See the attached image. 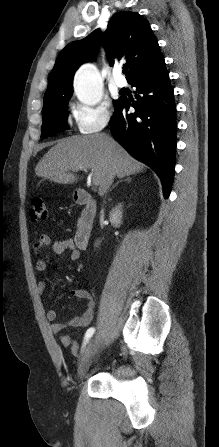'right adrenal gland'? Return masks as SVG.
Masks as SVG:
<instances>
[{"instance_id": "obj_1", "label": "right adrenal gland", "mask_w": 219, "mask_h": 447, "mask_svg": "<svg viewBox=\"0 0 219 447\" xmlns=\"http://www.w3.org/2000/svg\"><path fill=\"white\" fill-rule=\"evenodd\" d=\"M122 181H126V182H130L131 181V178L128 176V177H126L125 179H122V180H119L115 185H113V187H112V189L114 188V187H116L120 182H122ZM111 189V190H112Z\"/></svg>"}]
</instances>
